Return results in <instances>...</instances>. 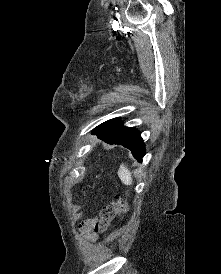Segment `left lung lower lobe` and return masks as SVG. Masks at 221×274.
Returning a JSON list of instances; mask_svg holds the SVG:
<instances>
[{"mask_svg":"<svg viewBox=\"0 0 221 274\" xmlns=\"http://www.w3.org/2000/svg\"><path fill=\"white\" fill-rule=\"evenodd\" d=\"M92 134L97 135L108 144L123 145L139 161H142L145 155V144L140 132L134 128L124 127L116 118L97 126Z\"/></svg>","mask_w":221,"mask_h":274,"instance_id":"1","label":"left lung lower lobe"}]
</instances>
